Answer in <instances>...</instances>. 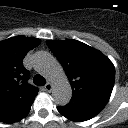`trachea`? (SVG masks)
<instances>
[{"label":"trachea","instance_id":"obj_1","mask_svg":"<svg viewBox=\"0 0 128 128\" xmlns=\"http://www.w3.org/2000/svg\"><path fill=\"white\" fill-rule=\"evenodd\" d=\"M33 82L37 86H44L46 84L45 78L38 74L34 76Z\"/></svg>","mask_w":128,"mask_h":128}]
</instances>
